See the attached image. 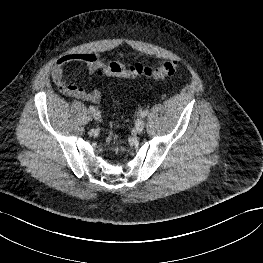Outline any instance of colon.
<instances>
[{"mask_svg":"<svg viewBox=\"0 0 263 263\" xmlns=\"http://www.w3.org/2000/svg\"><path fill=\"white\" fill-rule=\"evenodd\" d=\"M177 68L178 64L173 60H164L152 67L141 63L126 65L119 61H111L99 68L97 73L100 76L160 80L174 75Z\"/></svg>","mask_w":263,"mask_h":263,"instance_id":"1","label":"colon"}]
</instances>
